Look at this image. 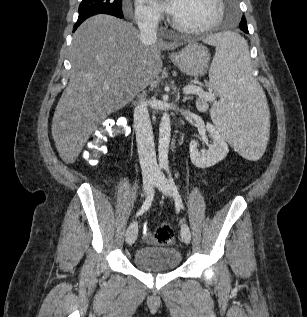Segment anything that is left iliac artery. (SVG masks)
I'll return each instance as SVG.
<instances>
[{
	"instance_id": "left-iliac-artery-1",
	"label": "left iliac artery",
	"mask_w": 307,
	"mask_h": 317,
	"mask_svg": "<svg viewBox=\"0 0 307 317\" xmlns=\"http://www.w3.org/2000/svg\"><path fill=\"white\" fill-rule=\"evenodd\" d=\"M166 173H167V176H168V180H169V183H170V186L172 188V191H173V196H174V199H175V203L178 207H181L182 209H184V206H183V202H182V199L180 197V194H179V191H178V187L174 181V178L171 174V171H170V168L168 166H165L164 167Z\"/></svg>"
}]
</instances>
